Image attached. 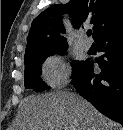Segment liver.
Segmentation results:
<instances>
[{
  "instance_id": "1",
  "label": "liver",
  "mask_w": 123,
  "mask_h": 130,
  "mask_svg": "<svg viewBox=\"0 0 123 130\" xmlns=\"http://www.w3.org/2000/svg\"><path fill=\"white\" fill-rule=\"evenodd\" d=\"M112 130L117 124L71 92L30 95L21 100L10 130Z\"/></svg>"
}]
</instances>
